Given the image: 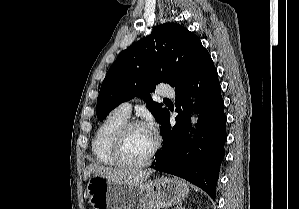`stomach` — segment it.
Segmentation results:
<instances>
[{"instance_id":"0dacf381","label":"stomach","mask_w":299,"mask_h":209,"mask_svg":"<svg viewBox=\"0 0 299 209\" xmlns=\"http://www.w3.org/2000/svg\"><path fill=\"white\" fill-rule=\"evenodd\" d=\"M188 193L184 181L167 177L123 184L94 174L87 184V195L94 209H161L180 203Z\"/></svg>"}]
</instances>
